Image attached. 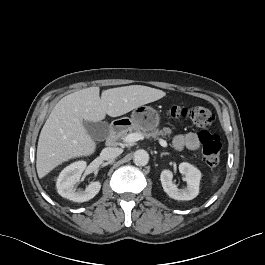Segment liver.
Here are the masks:
<instances>
[{"instance_id": "obj_1", "label": "liver", "mask_w": 265, "mask_h": 265, "mask_svg": "<svg viewBox=\"0 0 265 265\" xmlns=\"http://www.w3.org/2000/svg\"><path fill=\"white\" fill-rule=\"evenodd\" d=\"M89 87L63 97L46 120L38 140L36 169L39 178L72 158L90 156L96 143L88 134L84 121L100 122L107 115L121 116L131 110L157 101L162 90L130 85L104 90Z\"/></svg>"}]
</instances>
